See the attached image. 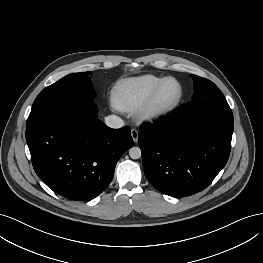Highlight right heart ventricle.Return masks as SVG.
Segmentation results:
<instances>
[{"label": "right heart ventricle", "mask_w": 263, "mask_h": 263, "mask_svg": "<svg viewBox=\"0 0 263 263\" xmlns=\"http://www.w3.org/2000/svg\"><path fill=\"white\" fill-rule=\"evenodd\" d=\"M163 79L165 78L148 74L119 81L112 91L115 107L127 112L138 110Z\"/></svg>", "instance_id": "right-heart-ventricle-1"}]
</instances>
